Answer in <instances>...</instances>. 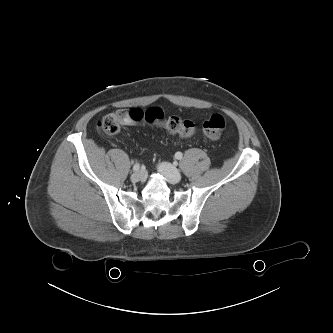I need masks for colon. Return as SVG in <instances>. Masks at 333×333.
I'll return each mask as SVG.
<instances>
[{
	"instance_id": "obj_1",
	"label": "colon",
	"mask_w": 333,
	"mask_h": 333,
	"mask_svg": "<svg viewBox=\"0 0 333 333\" xmlns=\"http://www.w3.org/2000/svg\"><path fill=\"white\" fill-rule=\"evenodd\" d=\"M130 121L127 110H118L107 114L98 123V128L109 135L116 134L122 125ZM150 125L163 126L169 133L178 134L182 137H191L195 133V125L190 120H182L176 116L168 119L153 118L149 120ZM226 127L225 118L219 114H214L206 119L202 125L203 133L210 139H218Z\"/></svg>"
}]
</instances>
